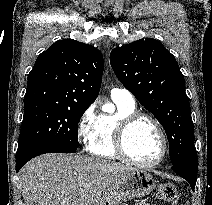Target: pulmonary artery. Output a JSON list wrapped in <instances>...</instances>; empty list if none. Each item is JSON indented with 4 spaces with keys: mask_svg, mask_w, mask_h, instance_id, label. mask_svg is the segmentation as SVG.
<instances>
[{
    "mask_svg": "<svg viewBox=\"0 0 212 205\" xmlns=\"http://www.w3.org/2000/svg\"><path fill=\"white\" fill-rule=\"evenodd\" d=\"M111 97L113 100H119L131 105L135 104L132 93L127 89L113 88L111 90Z\"/></svg>",
    "mask_w": 212,
    "mask_h": 205,
    "instance_id": "1",
    "label": "pulmonary artery"
}]
</instances>
